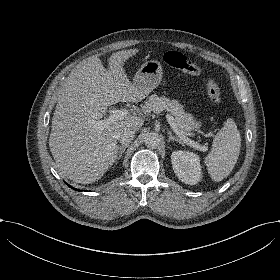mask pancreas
I'll use <instances>...</instances> for the list:
<instances>
[{
	"label": "pancreas",
	"mask_w": 280,
	"mask_h": 280,
	"mask_svg": "<svg viewBox=\"0 0 280 280\" xmlns=\"http://www.w3.org/2000/svg\"><path fill=\"white\" fill-rule=\"evenodd\" d=\"M141 108L146 115L151 113H158L161 111H168L174 117V122L176 124V130H182L184 132H189L192 136L195 135L193 132L202 125L200 122L196 123V119L189 116L183 109V105L176 100H170L165 97H158L157 95L149 96Z\"/></svg>",
	"instance_id": "obj_1"
}]
</instances>
